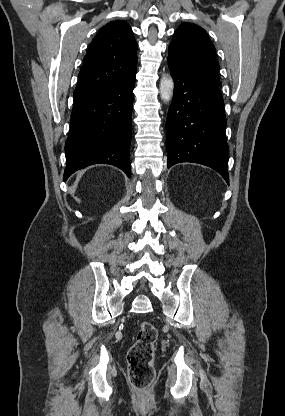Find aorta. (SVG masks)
<instances>
[{
  "label": "aorta",
  "instance_id": "762f6f07",
  "mask_svg": "<svg viewBox=\"0 0 285 416\" xmlns=\"http://www.w3.org/2000/svg\"><path fill=\"white\" fill-rule=\"evenodd\" d=\"M173 87V79L170 76L162 77L160 81V95L163 101H170L173 96Z\"/></svg>",
  "mask_w": 285,
  "mask_h": 416
}]
</instances>
